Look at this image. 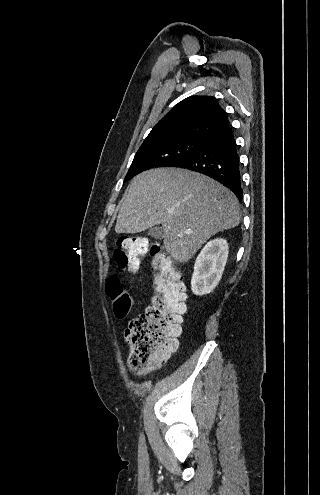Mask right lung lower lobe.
Here are the masks:
<instances>
[{"mask_svg":"<svg viewBox=\"0 0 320 495\" xmlns=\"http://www.w3.org/2000/svg\"><path fill=\"white\" fill-rule=\"evenodd\" d=\"M174 167L205 174L228 187L242 201L238 147L230 125L210 135L192 157Z\"/></svg>","mask_w":320,"mask_h":495,"instance_id":"obj_1","label":"right lung lower lobe"}]
</instances>
